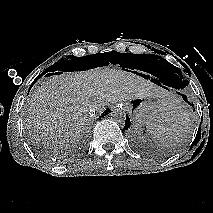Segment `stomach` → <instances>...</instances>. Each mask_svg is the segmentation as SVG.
Returning a JSON list of instances; mask_svg holds the SVG:
<instances>
[{
  "mask_svg": "<svg viewBox=\"0 0 213 213\" xmlns=\"http://www.w3.org/2000/svg\"><path fill=\"white\" fill-rule=\"evenodd\" d=\"M129 111L136 125L154 124L157 114L162 112L165 105L156 98H136L129 103Z\"/></svg>",
  "mask_w": 213,
  "mask_h": 213,
  "instance_id": "stomach-1",
  "label": "stomach"
}]
</instances>
